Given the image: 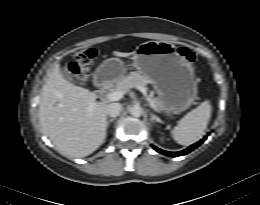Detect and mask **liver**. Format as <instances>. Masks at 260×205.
Masks as SVG:
<instances>
[{
  "label": "liver",
  "instance_id": "liver-1",
  "mask_svg": "<svg viewBox=\"0 0 260 205\" xmlns=\"http://www.w3.org/2000/svg\"><path fill=\"white\" fill-rule=\"evenodd\" d=\"M118 57L131 53L114 51ZM106 106L96 95L67 81L56 65L42 87L39 121L43 133L63 155L85 157L106 138Z\"/></svg>",
  "mask_w": 260,
  "mask_h": 205
}]
</instances>
